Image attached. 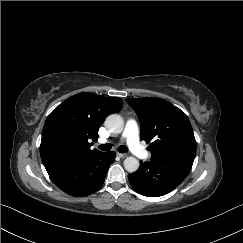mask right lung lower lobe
<instances>
[{"label": "right lung lower lobe", "mask_w": 243, "mask_h": 243, "mask_svg": "<svg viewBox=\"0 0 243 243\" xmlns=\"http://www.w3.org/2000/svg\"><path fill=\"white\" fill-rule=\"evenodd\" d=\"M115 152H100L84 160L47 170L51 180L72 196H87L98 190L114 162Z\"/></svg>", "instance_id": "98d812e1"}]
</instances>
